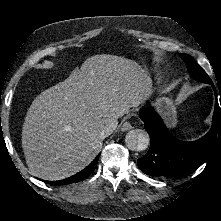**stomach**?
<instances>
[{
  "mask_svg": "<svg viewBox=\"0 0 221 221\" xmlns=\"http://www.w3.org/2000/svg\"><path fill=\"white\" fill-rule=\"evenodd\" d=\"M156 108L164 117L166 124L172 128L177 124L176 106L172 99L168 97H160L156 100Z\"/></svg>",
  "mask_w": 221,
  "mask_h": 221,
  "instance_id": "stomach-1",
  "label": "stomach"
}]
</instances>
